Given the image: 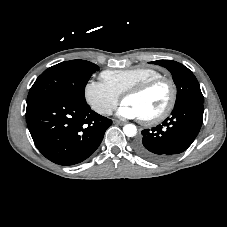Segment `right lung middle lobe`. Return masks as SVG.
Segmentation results:
<instances>
[{"mask_svg":"<svg viewBox=\"0 0 227 227\" xmlns=\"http://www.w3.org/2000/svg\"><path fill=\"white\" fill-rule=\"evenodd\" d=\"M99 68L85 60H72L46 69L31 87L27 101L42 96L69 98L84 102L82 87Z\"/></svg>","mask_w":227,"mask_h":227,"instance_id":"dd1d6c3e","label":"right lung middle lobe"}]
</instances>
